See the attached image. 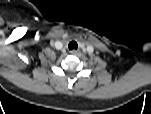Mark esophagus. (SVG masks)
Masks as SVG:
<instances>
[{
  "label": "esophagus",
  "mask_w": 151,
  "mask_h": 114,
  "mask_svg": "<svg viewBox=\"0 0 151 114\" xmlns=\"http://www.w3.org/2000/svg\"><path fill=\"white\" fill-rule=\"evenodd\" d=\"M70 53L74 56H77L80 54V51L79 50H71Z\"/></svg>",
  "instance_id": "esophagus-1"
}]
</instances>
